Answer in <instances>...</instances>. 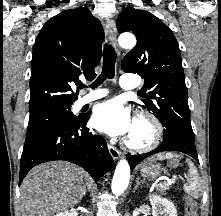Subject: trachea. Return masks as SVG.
Masks as SVG:
<instances>
[{
	"mask_svg": "<svg viewBox=\"0 0 221 216\" xmlns=\"http://www.w3.org/2000/svg\"><path fill=\"white\" fill-rule=\"evenodd\" d=\"M115 62H116V53L111 45H105L103 52V67L102 73L91 85L92 88H96L101 85L105 79H113L115 76ZM85 86L83 84L79 85V88L82 89ZM142 94V92H139Z\"/></svg>",
	"mask_w": 221,
	"mask_h": 216,
	"instance_id": "obj_1",
	"label": "trachea"
}]
</instances>
